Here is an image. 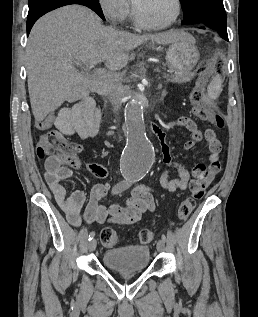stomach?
I'll use <instances>...</instances> for the list:
<instances>
[{"mask_svg": "<svg viewBox=\"0 0 258 317\" xmlns=\"http://www.w3.org/2000/svg\"><path fill=\"white\" fill-rule=\"evenodd\" d=\"M149 48H157L162 50L163 46H155L154 42L147 44ZM166 62L175 74H181L182 78H188V74L195 66L199 52L197 50L194 36L190 32H184L181 30L180 40L171 42L168 48H166Z\"/></svg>", "mask_w": 258, "mask_h": 317, "instance_id": "0dacf381", "label": "stomach"}]
</instances>
